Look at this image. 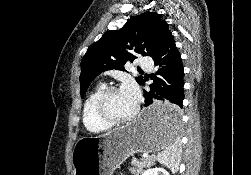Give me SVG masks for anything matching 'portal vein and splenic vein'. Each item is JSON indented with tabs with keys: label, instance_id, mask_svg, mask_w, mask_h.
I'll list each match as a JSON object with an SVG mask.
<instances>
[{
	"label": "portal vein and splenic vein",
	"instance_id": "18ae733b",
	"mask_svg": "<svg viewBox=\"0 0 251 175\" xmlns=\"http://www.w3.org/2000/svg\"><path fill=\"white\" fill-rule=\"evenodd\" d=\"M141 157H142V158H147V157H148V154H147V153H142V154H141Z\"/></svg>",
	"mask_w": 251,
	"mask_h": 175
}]
</instances>
